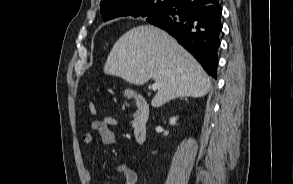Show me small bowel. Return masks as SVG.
Here are the masks:
<instances>
[{"instance_id": "1", "label": "small bowel", "mask_w": 293, "mask_h": 184, "mask_svg": "<svg viewBox=\"0 0 293 184\" xmlns=\"http://www.w3.org/2000/svg\"><path fill=\"white\" fill-rule=\"evenodd\" d=\"M119 124L120 122L116 118L108 116L94 120L91 123V129L100 135L101 142L104 145H112L116 143V136L112 128L119 126ZM82 140L85 145H90L93 142L92 133H85ZM115 171L124 175L125 184H136L137 173L130 165L124 163L118 164L115 166ZM85 177L87 181H92V174L89 169H85Z\"/></svg>"}]
</instances>
